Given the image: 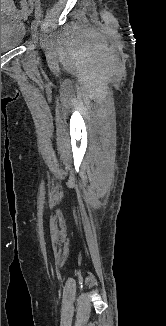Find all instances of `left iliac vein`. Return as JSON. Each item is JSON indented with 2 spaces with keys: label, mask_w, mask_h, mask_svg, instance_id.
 <instances>
[{
  "label": "left iliac vein",
  "mask_w": 166,
  "mask_h": 326,
  "mask_svg": "<svg viewBox=\"0 0 166 326\" xmlns=\"http://www.w3.org/2000/svg\"><path fill=\"white\" fill-rule=\"evenodd\" d=\"M31 30H32V35H33V41L36 44L38 40V34H37V22L33 21L31 24Z\"/></svg>",
  "instance_id": "1"
}]
</instances>
